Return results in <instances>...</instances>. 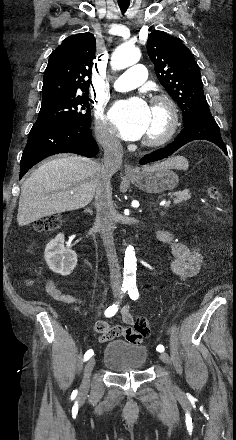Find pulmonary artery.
Listing matches in <instances>:
<instances>
[{"label":"pulmonary artery","instance_id":"e3ab8cb5","mask_svg":"<svg viewBox=\"0 0 236 440\" xmlns=\"http://www.w3.org/2000/svg\"><path fill=\"white\" fill-rule=\"evenodd\" d=\"M146 74L147 71L144 65H133L116 79L113 87L118 92L131 91L144 83Z\"/></svg>","mask_w":236,"mask_h":440}]
</instances>
